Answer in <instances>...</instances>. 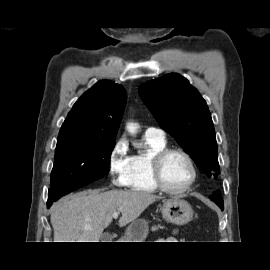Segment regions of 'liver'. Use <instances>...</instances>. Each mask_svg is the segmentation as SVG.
Instances as JSON below:
<instances>
[{
	"label": "liver",
	"instance_id": "liver-1",
	"mask_svg": "<svg viewBox=\"0 0 270 270\" xmlns=\"http://www.w3.org/2000/svg\"><path fill=\"white\" fill-rule=\"evenodd\" d=\"M159 199V196L135 190H94L71 195L52 210L54 242H99L114 212H121L118 222L125 226Z\"/></svg>",
	"mask_w": 270,
	"mask_h": 270
}]
</instances>
